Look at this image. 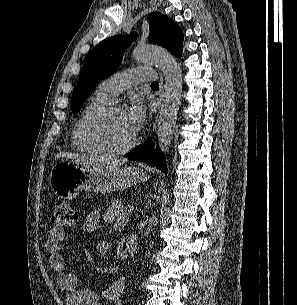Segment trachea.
<instances>
[{"label": "trachea", "instance_id": "1", "mask_svg": "<svg viewBox=\"0 0 297 305\" xmlns=\"http://www.w3.org/2000/svg\"><path fill=\"white\" fill-rule=\"evenodd\" d=\"M151 87H159V83L154 81L151 83Z\"/></svg>", "mask_w": 297, "mask_h": 305}]
</instances>
